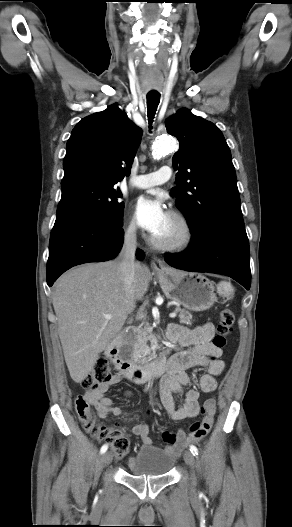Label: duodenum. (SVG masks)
Listing matches in <instances>:
<instances>
[{
	"label": "duodenum",
	"mask_w": 292,
	"mask_h": 527,
	"mask_svg": "<svg viewBox=\"0 0 292 527\" xmlns=\"http://www.w3.org/2000/svg\"><path fill=\"white\" fill-rule=\"evenodd\" d=\"M120 347L121 336L118 335L107 346V354L115 362L123 375L136 383L141 384L151 381L164 374L167 370L166 352H162L158 359L140 365L124 358Z\"/></svg>",
	"instance_id": "410a0bca"
}]
</instances>
